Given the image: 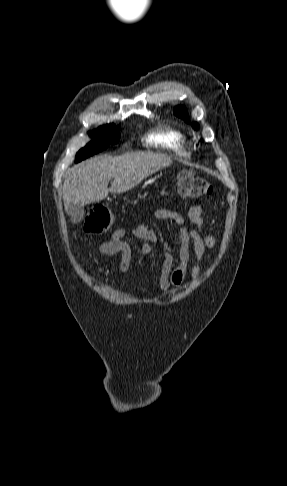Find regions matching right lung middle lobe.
<instances>
[{
  "label": "right lung middle lobe",
  "mask_w": 287,
  "mask_h": 486,
  "mask_svg": "<svg viewBox=\"0 0 287 486\" xmlns=\"http://www.w3.org/2000/svg\"><path fill=\"white\" fill-rule=\"evenodd\" d=\"M89 134L93 140L77 153L76 163L105 150L110 144H116L120 138L119 129L114 124L100 127L98 130Z\"/></svg>",
  "instance_id": "dd1d6c3e"
}]
</instances>
